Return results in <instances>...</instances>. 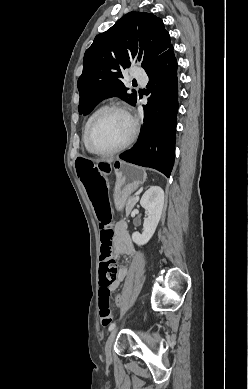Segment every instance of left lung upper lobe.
<instances>
[{
	"label": "left lung upper lobe",
	"mask_w": 248,
	"mask_h": 389,
	"mask_svg": "<svg viewBox=\"0 0 248 389\" xmlns=\"http://www.w3.org/2000/svg\"><path fill=\"white\" fill-rule=\"evenodd\" d=\"M170 46L162 19L146 12H129L97 35L85 52L77 82L79 114H89L101 100L113 96L135 104L137 93H128L121 71L140 61L143 51L142 67L147 71Z\"/></svg>",
	"instance_id": "obj_1"
}]
</instances>
